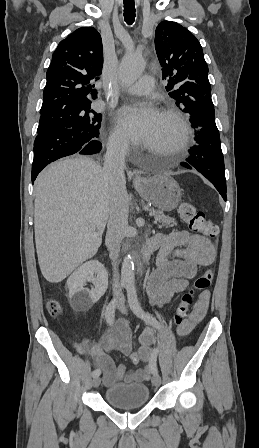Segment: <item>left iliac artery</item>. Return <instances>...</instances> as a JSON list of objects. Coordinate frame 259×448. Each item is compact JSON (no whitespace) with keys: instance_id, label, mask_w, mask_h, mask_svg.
<instances>
[{"instance_id":"44dca946","label":"left iliac artery","mask_w":259,"mask_h":448,"mask_svg":"<svg viewBox=\"0 0 259 448\" xmlns=\"http://www.w3.org/2000/svg\"><path fill=\"white\" fill-rule=\"evenodd\" d=\"M126 290H127V296H128V303L129 306L131 308V310L133 311V313L138 316L139 318L143 319L146 323L152 325L153 327H155L156 329L160 330L161 326L159 324V322L156 320V318L152 317L150 314H147L143 311V309L140 306V303L138 301L137 298V292H136V288L134 283H128L126 285ZM159 349L158 348H154L151 356L152 359L155 361L156 364V360H157V355H158ZM158 370L157 367H155V369L153 370V374H157Z\"/></svg>"}]
</instances>
